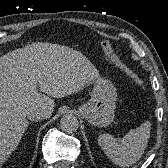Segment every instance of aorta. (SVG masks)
I'll return each instance as SVG.
<instances>
[{"instance_id": "obj_1", "label": "aorta", "mask_w": 168, "mask_h": 168, "mask_svg": "<svg viewBox=\"0 0 168 168\" xmlns=\"http://www.w3.org/2000/svg\"><path fill=\"white\" fill-rule=\"evenodd\" d=\"M60 126L63 131L73 133L78 129L79 122L76 116L68 114L61 118Z\"/></svg>"}]
</instances>
